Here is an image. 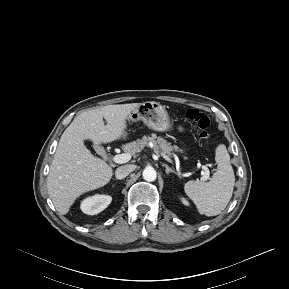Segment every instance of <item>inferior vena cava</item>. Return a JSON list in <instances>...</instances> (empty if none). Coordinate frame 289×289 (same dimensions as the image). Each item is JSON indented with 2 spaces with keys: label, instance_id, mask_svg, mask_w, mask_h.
<instances>
[{
  "label": "inferior vena cava",
  "instance_id": "602c4592",
  "mask_svg": "<svg viewBox=\"0 0 289 289\" xmlns=\"http://www.w3.org/2000/svg\"><path fill=\"white\" fill-rule=\"evenodd\" d=\"M134 170H135V165H123L116 169L115 176L117 179H123L127 177Z\"/></svg>",
  "mask_w": 289,
  "mask_h": 289
}]
</instances>
